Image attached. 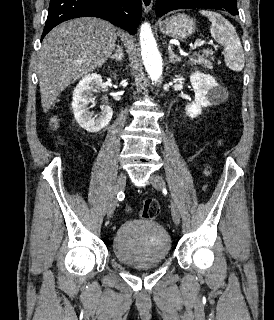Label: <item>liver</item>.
<instances>
[{
	"label": "liver",
	"mask_w": 274,
	"mask_h": 320,
	"mask_svg": "<svg viewBox=\"0 0 274 320\" xmlns=\"http://www.w3.org/2000/svg\"><path fill=\"white\" fill-rule=\"evenodd\" d=\"M116 40L115 28L100 18H76L53 28L45 36L38 56L45 114L67 86L105 64L115 50Z\"/></svg>",
	"instance_id": "obj_1"
}]
</instances>
